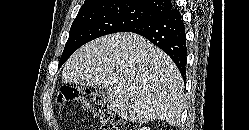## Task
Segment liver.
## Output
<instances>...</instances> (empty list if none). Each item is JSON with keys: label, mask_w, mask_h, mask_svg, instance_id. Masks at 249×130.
Listing matches in <instances>:
<instances>
[{"label": "liver", "mask_w": 249, "mask_h": 130, "mask_svg": "<svg viewBox=\"0 0 249 130\" xmlns=\"http://www.w3.org/2000/svg\"><path fill=\"white\" fill-rule=\"evenodd\" d=\"M62 81L105 86L110 106L130 122L180 123L182 76L167 54L137 34L117 33L85 44L65 63Z\"/></svg>", "instance_id": "1"}]
</instances>
